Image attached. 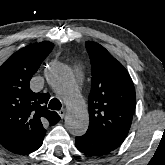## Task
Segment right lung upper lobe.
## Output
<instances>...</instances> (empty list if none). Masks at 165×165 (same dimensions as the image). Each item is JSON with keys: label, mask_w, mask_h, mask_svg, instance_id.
Instances as JSON below:
<instances>
[{"label": "right lung upper lobe", "mask_w": 165, "mask_h": 165, "mask_svg": "<svg viewBox=\"0 0 165 165\" xmlns=\"http://www.w3.org/2000/svg\"><path fill=\"white\" fill-rule=\"evenodd\" d=\"M53 47L47 41L28 45L0 66V143L11 152H23L45 136L44 125L60 120L45 106L50 95L29 87Z\"/></svg>", "instance_id": "cb5924a9"}]
</instances>
